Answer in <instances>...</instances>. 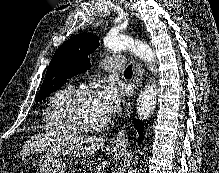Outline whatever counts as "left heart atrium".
I'll return each instance as SVG.
<instances>
[{"label": "left heart atrium", "instance_id": "1", "mask_svg": "<svg viewBox=\"0 0 219 173\" xmlns=\"http://www.w3.org/2000/svg\"><path fill=\"white\" fill-rule=\"evenodd\" d=\"M96 94L107 117L114 115L119 110L122 96L113 84H105Z\"/></svg>", "mask_w": 219, "mask_h": 173}]
</instances>
